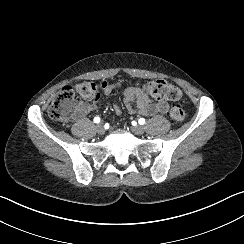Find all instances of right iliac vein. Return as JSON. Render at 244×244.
Wrapping results in <instances>:
<instances>
[{"label": "right iliac vein", "instance_id": "1", "mask_svg": "<svg viewBox=\"0 0 244 244\" xmlns=\"http://www.w3.org/2000/svg\"><path fill=\"white\" fill-rule=\"evenodd\" d=\"M95 127L99 134L103 135L105 133V128L102 123L97 124Z\"/></svg>", "mask_w": 244, "mask_h": 244}]
</instances>
